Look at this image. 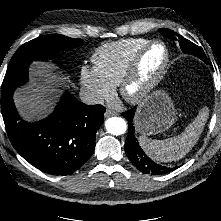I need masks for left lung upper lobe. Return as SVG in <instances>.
<instances>
[{"instance_id":"5c2ea615","label":"left lung upper lobe","mask_w":221,"mask_h":221,"mask_svg":"<svg viewBox=\"0 0 221 221\" xmlns=\"http://www.w3.org/2000/svg\"><path fill=\"white\" fill-rule=\"evenodd\" d=\"M159 32L164 37H167L170 39H175L176 41H179L180 47L185 54L194 55L207 63V59H206L204 52L200 49V47H198L197 45H195L191 41L185 39L184 37L178 35L174 31L169 30V29L162 28V29H159Z\"/></svg>"}]
</instances>
